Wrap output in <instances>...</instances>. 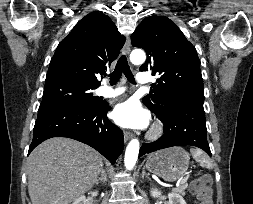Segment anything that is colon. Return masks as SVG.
<instances>
[{"label":"colon","mask_w":253,"mask_h":204,"mask_svg":"<svg viewBox=\"0 0 253 204\" xmlns=\"http://www.w3.org/2000/svg\"><path fill=\"white\" fill-rule=\"evenodd\" d=\"M191 192L197 197L199 204H213L211 179L202 176L191 183Z\"/></svg>","instance_id":"5ec220e1"}]
</instances>
